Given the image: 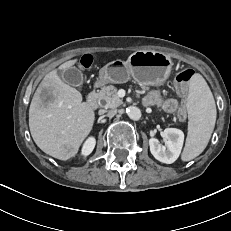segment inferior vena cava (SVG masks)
Listing matches in <instances>:
<instances>
[{
    "instance_id": "602c4592",
    "label": "inferior vena cava",
    "mask_w": 231,
    "mask_h": 231,
    "mask_svg": "<svg viewBox=\"0 0 231 231\" xmlns=\"http://www.w3.org/2000/svg\"><path fill=\"white\" fill-rule=\"evenodd\" d=\"M116 113H117L116 109H111V110L108 111L107 116L108 117H113V116L116 115Z\"/></svg>"
}]
</instances>
